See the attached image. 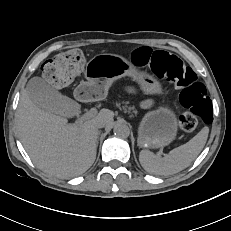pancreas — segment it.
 Listing matches in <instances>:
<instances>
[{
	"label": "pancreas",
	"mask_w": 231,
	"mask_h": 231,
	"mask_svg": "<svg viewBox=\"0 0 231 231\" xmlns=\"http://www.w3.org/2000/svg\"><path fill=\"white\" fill-rule=\"evenodd\" d=\"M116 106L119 107V108H121V103L117 102V103H116ZM122 108H123L124 110L128 109V112H131V111H132L133 113H137V111L135 110L134 107L124 105V106H122Z\"/></svg>",
	"instance_id": "cf45deb5"
}]
</instances>
